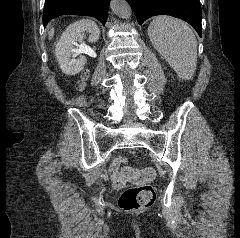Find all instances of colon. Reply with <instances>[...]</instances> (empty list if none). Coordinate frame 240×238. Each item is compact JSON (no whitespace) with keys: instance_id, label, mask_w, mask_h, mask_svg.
<instances>
[{"instance_id":"5ec220e1","label":"colon","mask_w":240,"mask_h":238,"mask_svg":"<svg viewBox=\"0 0 240 238\" xmlns=\"http://www.w3.org/2000/svg\"><path fill=\"white\" fill-rule=\"evenodd\" d=\"M123 180L138 184L135 187L125 189L119 199L118 206L122 211L132 212L149 208L155 201L156 194L152 186L146 184L156 176L153 168L141 170L126 166L121 171Z\"/></svg>"}]
</instances>
